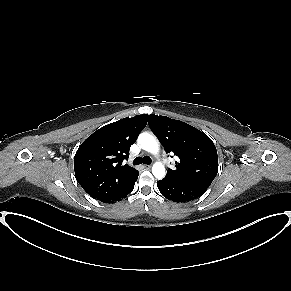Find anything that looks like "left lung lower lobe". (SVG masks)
Instances as JSON below:
<instances>
[{
	"mask_svg": "<svg viewBox=\"0 0 291 291\" xmlns=\"http://www.w3.org/2000/svg\"><path fill=\"white\" fill-rule=\"evenodd\" d=\"M160 193L174 202H187L200 197L207 188L180 182L165 176L163 180L157 181Z\"/></svg>",
	"mask_w": 291,
	"mask_h": 291,
	"instance_id": "obj_1",
	"label": "left lung lower lobe"
}]
</instances>
